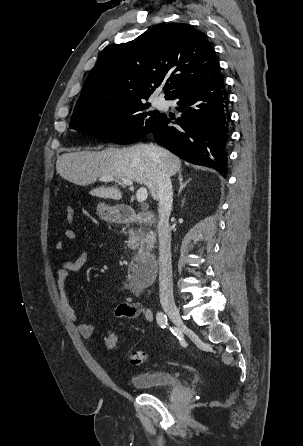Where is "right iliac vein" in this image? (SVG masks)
<instances>
[{
	"label": "right iliac vein",
	"instance_id": "63e3f726",
	"mask_svg": "<svg viewBox=\"0 0 303 446\" xmlns=\"http://www.w3.org/2000/svg\"><path fill=\"white\" fill-rule=\"evenodd\" d=\"M162 306H163L164 311L167 313V315L169 316L171 321L176 325V327H178L179 329H183L184 324H183L179 310L176 307V305L171 302H166V303H163Z\"/></svg>",
	"mask_w": 303,
	"mask_h": 446
}]
</instances>
